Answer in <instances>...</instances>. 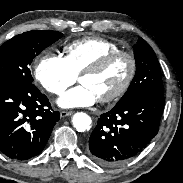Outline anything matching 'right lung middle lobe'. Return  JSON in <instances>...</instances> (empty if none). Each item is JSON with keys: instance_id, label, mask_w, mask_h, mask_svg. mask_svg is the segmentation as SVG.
<instances>
[{"instance_id": "right-lung-middle-lobe-1", "label": "right lung middle lobe", "mask_w": 183, "mask_h": 183, "mask_svg": "<svg viewBox=\"0 0 183 183\" xmlns=\"http://www.w3.org/2000/svg\"><path fill=\"white\" fill-rule=\"evenodd\" d=\"M57 31H28L16 35L0 47V84L28 82L30 65L46 47L62 37Z\"/></svg>"}]
</instances>
